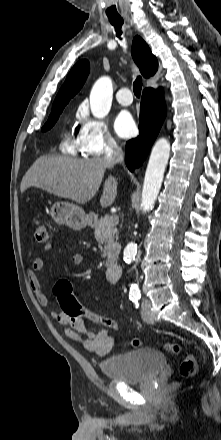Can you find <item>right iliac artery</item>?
Here are the masks:
<instances>
[{"mask_svg":"<svg viewBox=\"0 0 221 440\" xmlns=\"http://www.w3.org/2000/svg\"><path fill=\"white\" fill-rule=\"evenodd\" d=\"M131 300L136 304V307H138V299L137 298H132Z\"/></svg>","mask_w":221,"mask_h":440,"instance_id":"right-iliac-artery-1","label":"right iliac artery"}]
</instances>
